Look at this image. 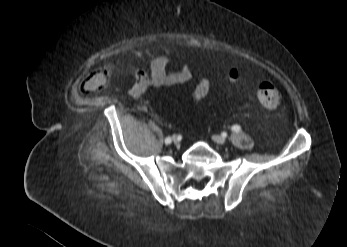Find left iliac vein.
Listing matches in <instances>:
<instances>
[{
    "instance_id": "obj_1",
    "label": "left iliac vein",
    "mask_w": 347,
    "mask_h": 247,
    "mask_svg": "<svg viewBox=\"0 0 347 247\" xmlns=\"http://www.w3.org/2000/svg\"><path fill=\"white\" fill-rule=\"evenodd\" d=\"M212 139L217 144H224L226 142V139L221 135H213Z\"/></svg>"
}]
</instances>
